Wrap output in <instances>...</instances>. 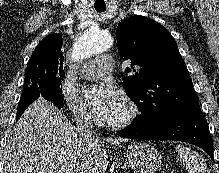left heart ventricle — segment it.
Masks as SVG:
<instances>
[{
    "instance_id": "b2bd125f",
    "label": "left heart ventricle",
    "mask_w": 219,
    "mask_h": 173,
    "mask_svg": "<svg viewBox=\"0 0 219 173\" xmlns=\"http://www.w3.org/2000/svg\"><path fill=\"white\" fill-rule=\"evenodd\" d=\"M127 112H128L127 106L124 104L122 99H120L117 107L114 109V111L112 112V114L109 116L107 120L109 121L119 120L123 118L127 114Z\"/></svg>"
}]
</instances>
